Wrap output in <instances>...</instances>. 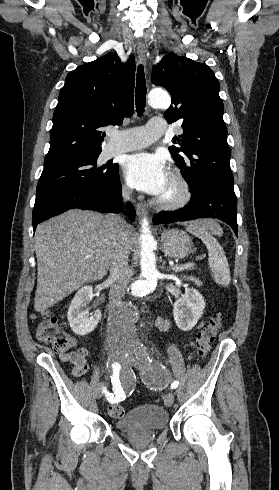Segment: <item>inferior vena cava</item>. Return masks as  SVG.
<instances>
[{
    "label": "inferior vena cava",
    "mask_w": 279,
    "mask_h": 490,
    "mask_svg": "<svg viewBox=\"0 0 279 490\" xmlns=\"http://www.w3.org/2000/svg\"><path fill=\"white\" fill-rule=\"evenodd\" d=\"M130 194V190H125V188H123V202H128ZM109 224H111V226H116V228H121V230H118V234H120L122 238V242L117 244V254L114 256L113 262H111V266L109 268L110 276L108 278V282L110 284V292L108 294V316H112L113 312H117V308H120L121 300L125 296V290L131 276L128 264V252H125L124 248L126 240H128L127 236L130 234V232H126V230H124L127 224L125 220H122V218H120V216H116V214H111V216H109Z\"/></svg>",
    "instance_id": "1"
}]
</instances>
